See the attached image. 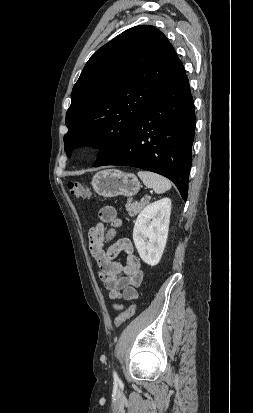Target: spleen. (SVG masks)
<instances>
[{"label":"spleen","instance_id":"1","mask_svg":"<svg viewBox=\"0 0 253 413\" xmlns=\"http://www.w3.org/2000/svg\"><path fill=\"white\" fill-rule=\"evenodd\" d=\"M138 176L146 187L152 188L157 194H162L171 188L170 181L159 174L140 170Z\"/></svg>","mask_w":253,"mask_h":413}]
</instances>
